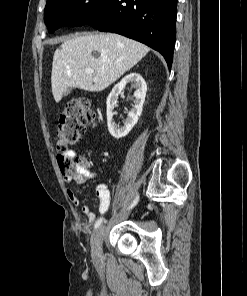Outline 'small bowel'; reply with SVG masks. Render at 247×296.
Instances as JSON below:
<instances>
[{
  "mask_svg": "<svg viewBox=\"0 0 247 296\" xmlns=\"http://www.w3.org/2000/svg\"><path fill=\"white\" fill-rule=\"evenodd\" d=\"M67 156L69 157H75L76 153L74 151H67ZM98 174L97 171H89L86 170L85 172V176L88 178H94L96 177ZM64 178L66 180H68L70 177L66 174H64ZM74 179L78 180L77 177H74ZM67 195L70 199V201L74 204V205H79L80 200L77 197V195L75 194V192L72 189H67ZM96 195L99 199V207H98V211L100 214H105L109 207H110V192L108 189V186L106 183H99L96 187ZM82 212L87 216V219L90 223L94 222L97 219V215L95 212L92 211L91 207L89 205H83L82 207Z\"/></svg>",
  "mask_w": 247,
  "mask_h": 296,
  "instance_id": "1",
  "label": "small bowel"
}]
</instances>
